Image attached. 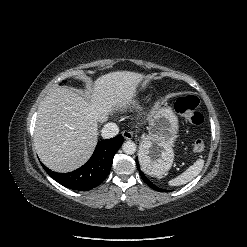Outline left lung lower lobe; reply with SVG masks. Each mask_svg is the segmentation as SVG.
I'll return each instance as SVG.
<instances>
[{"label": "left lung lower lobe", "mask_w": 247, "mask_h": 247, "mask_svg": "<svg viewBox=\"0 0 247 247\" xmlns=\"http://www.w3.org/2000/svg\"><path fill=\"white\" fill-rule=\"evenodd\" d=\"M136 165H137V168H138V170H139V173H140L142 179L146 182V184H147L149 187H151L152 189L156 190V191H161V189H159L156 185H154L151 181H149V180L145 177V175L141 172V170H140V168H139V163H138L137 158H136Z\"/></svg>", "instance_id": "0a47b994"}]
</instances>
